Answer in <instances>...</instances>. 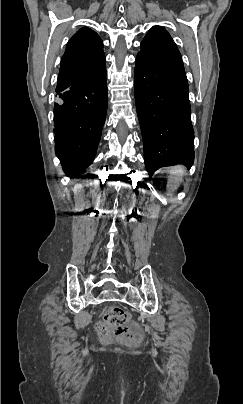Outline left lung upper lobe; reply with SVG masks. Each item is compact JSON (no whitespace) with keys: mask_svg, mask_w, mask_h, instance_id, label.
Wrapping results in <instances>:
<instances>
[{"mask_svg":"<svg viewBox=\"0 0 243 404\" xmlns=\"http://www.w3.org/2000/svg\"><path fill=\"white\" fill-rule=\"evenodd\" d=\"M142 55L162 66L184 70L181 54L169 33L160 26L153 27L141 42Z\"/></svg>","mask_w":243,"mask_h":404,"instance_id":"1","label":"left lung upper lobe"}]
</instances>
